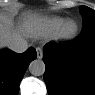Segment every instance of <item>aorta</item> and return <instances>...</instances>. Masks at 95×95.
Masks as SVG:
<instances>
[{
    "mask_svg": "<svg viewBox=\"0 0 95 95\" xmlns=\"http://www.w3.org/2000/svg\"><path fill=\"white\" fill-rule=\"evenodd\" d=\"M29 72L34 76H41L45 72V64L42 60L35 59L28 67Z\"/></svg>",
    "mask_w": 95,
    "mask_h": 95,
    "instance_id": "762f6f07",
    "label": "aorta"
}]
</instances>
